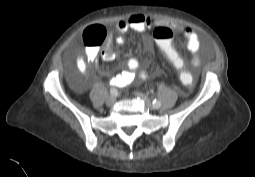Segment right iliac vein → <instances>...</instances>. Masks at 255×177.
Wrapping results in <instances>:
<instances>
[{
    "mask_svg": "<svg viewBox=\"0 0 255 177\" xmlns=\"http://www.w3.org/2000/svg\"><path fill=\"white\" fill-rule=\"evenodd\" d=\"M116 102V96H109L106 100V105L107 106H112Z\"/></svg>",
    "mask_w": 255,
    "mask_h": 177,
    "instance_id": "63e3f726",
    "label": "right iliac vein"
}]
</instances>
